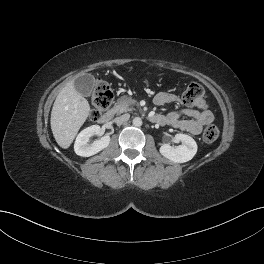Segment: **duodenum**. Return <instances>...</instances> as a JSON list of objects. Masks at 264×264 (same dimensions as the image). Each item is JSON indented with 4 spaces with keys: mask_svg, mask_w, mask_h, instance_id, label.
<instances>
[{
    "mask_svg": "<svg viewBox=\"0 0 264 264\" xmlns=\"http://www.w3.org/2000/svg\"><path fill=\"white\" fill-rule=\"evenodd\" d=\"M115 115V111L114 110H109L105 113H103L100 118H99V122L102 123V124H107L109 122H111V120L113 119ZM150 120L152 122H155V123H158L161 118L158 116V115H153L150 117Z\"/></svg>",
    "mask_w": 264,
    "mask_h": 264,
    "instance_id": "obj_1",
    "label": "duodenum"
}]
</instances>
